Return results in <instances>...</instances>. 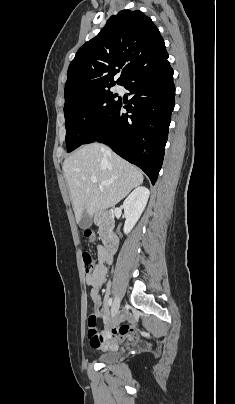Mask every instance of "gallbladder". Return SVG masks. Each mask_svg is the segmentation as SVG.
I'll list each match as a JSON object with an SVG mask.
<instances>
[{
  "instance_id": "bac80fb5",
  "label": "gallbladder",
  "mask_w": 235,
  "mask_h": 404,
  "mask_svg": "<svg viewBox=\"0 0 235 404\" xmlns=\"http://www.w3.org/2000/svg\"><path fill=\"white\" fill-rule=\"evenodd\" d=\"M91 224H92V219H91V217H89V215L87 214V212L85 210L82 214V218H81V221L79 222V226L82 229H87L91 226Z\"/></svg>"
}]
</instances>
